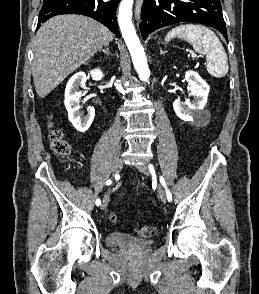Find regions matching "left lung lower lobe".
Instances as JSON below:
<instances>
[{
  "label": "left lung lower lobe",
  "mask_w": 259,
  "mask_h": 294,
  "mask_svg": "<svg viewBox=\"0 0 259 294\" xmlns=\"http://www.w3.org/2000/svg\"><path fill=\"white\" fill-rule=\"evenodd\" d=\"M179 22H194L211 26L228 40L220 0H144L141 13V34Z\"/></svg>",
  "instance_id": "obj_1"
}]
</instances>
